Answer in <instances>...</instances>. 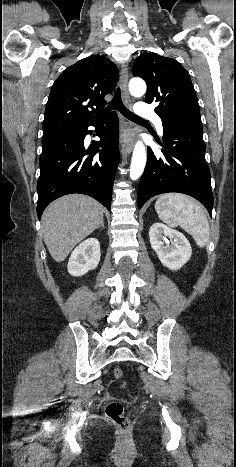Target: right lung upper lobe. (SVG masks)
<instances>
[{"label":"right lung upper lobe","instance_id":"1","mask_svg":"<svg viewBox=\"0 0 236 467\" xmlns=\"http://www.w3.org/2000/svg\"><path fill=\"white\" fill-rule=\"evenodd\" d=\"M119 79L116 65L92 55L69 66L54 82L46 104L43 133L85 126L106 114V94Z\"/></svg>","mask_w":236,"mask_h":467}]
</instances>
